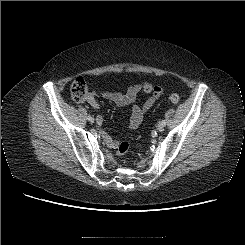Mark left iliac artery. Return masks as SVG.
Here are the masks:
<instances>
[{
	"label": "left iliac artery",
	"mask_w": 245,
	"mask_h": 245,
	"mask_svg": "<svg viewBox=\"0 0 245 245\" xmlns=\"http://www.w3.org/2000/svg\"><path fill=\"white\" fill-rule=\"evenodd\" d=\"M161 123L165 126L166 125V121L162 120Z\"/></svg>",
	"instance_id": "obj_1"
}]
</instances>
